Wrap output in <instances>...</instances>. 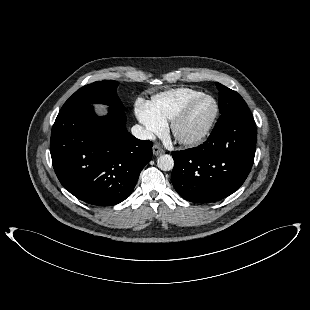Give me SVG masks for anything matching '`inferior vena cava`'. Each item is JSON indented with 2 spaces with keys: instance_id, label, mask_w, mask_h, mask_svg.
<instances>
[{
  "instance_id": "inferior-vena-cava-1",
  "label": "inferior vena cava",
  "mask_w": 310,
  "mask_h": 310,
  "mask_svg": "<svg viewBox=\"0 0 310 310\" xmlns=\"http://www.w3.org/2000/svg\"><path fill=\"white\" fill-rule=\"evenodd\" d=\"M132 135L140 140H154L155 136L152 132L145 129L141 125H134L131 128Z\"/></svg>"
}]
</instances>
